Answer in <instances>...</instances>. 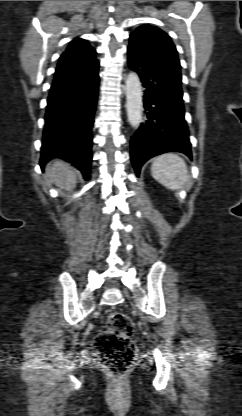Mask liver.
<instances>
[{"mask_svg":"<svg viewBox=\"0 0 242 416\" xmlns=\"http://www.w3.org/2000/svg\"><path fill=\"white\" fill-rule=\"evenodd\" d=\"M79 172L69 163L56 160L46 168V177L49 178L57 187L66 191L75 188Z\"/></svg>","mask_w":242,"mask_h":416,"instance_id":"liver-1","label":"liver"}]
</instances>
